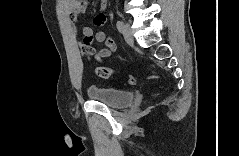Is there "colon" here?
Listing matches in <instances>:
<instances>
[{"label":"colon","instance_id":"1","mask_svg":"<svg viewBox=\"0 0 239 156\" xmlns=\"http://www.w3.org/2000/svg\"><path fill=\"white\" fill-rule=\"evenodd\" d=\"M97 75L102 77V78H110L111 76L114 75V71L108 67H98L97 70ZM152 78H155V76H152ZM127 82L130 85L135 84V78L133 76H128L127 77Z\"/></svg>","mask_w":239,"mask_h":156}]
</instances>
